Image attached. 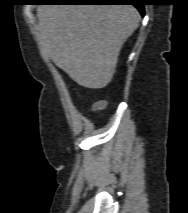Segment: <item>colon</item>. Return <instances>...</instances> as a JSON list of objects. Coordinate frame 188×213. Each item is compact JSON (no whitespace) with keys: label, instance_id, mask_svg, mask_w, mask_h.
<instances>
[{"label":"colon","instance_id":"colon-1","mask_svg":"<svg viewBox=\"0 0 188 213\" xmlns=\"http://www.w3.org/2000/svg\"><path fill=\"white\" fill-rule=\"evenodd\" d=\"M107 106V101L106 100H98L92 105V109L94 111H102L106 108Z\"/></svg>","mask_w":188,"mask_h":213}]
</instances>
